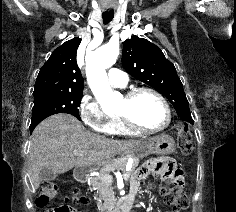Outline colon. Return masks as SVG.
Masks as SVG:
<instances>
[{
	"label": "colon",
	"mask_w": 236,
	"mask_h": 212,
	"mask_svg": "<svg viewBox=\"0 0 236 212\" xmlns=\"http://www.w3.org/2000/svg\"><path fill=\"white\" fill-rule=\"evenodd\" d=\"M177 140L178 148L184 155H189L194 149L192 135L184 123H179L177 126ZM160 194L165 198L168 204L173 205L175 210L187 209L190 205L189 200L182 193V181L176 173H172L168 176L163 185L159 187ZM58 194V186L56 183L46 181L41 186V192L37 198V205L40 207L47 206ZM68 200L74 204L84 203L86 199L79 195L78 190L74 189L72 194L68 197ZM48 212H75V210L69 205H61L55 208H51Z\"/></svg>",
	"instance_id": "5ec220e1"
}]
</instances>
